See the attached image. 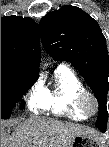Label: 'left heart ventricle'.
Wrapping results in <instances>:
<instances>
[{
    "mask_svg": "<svg viewBox=\"0 0 109 147\" xmlns=\"http://www.w3.org/2000/svg\"><path fill=\"white\" fill-rule=\"evenodd\" d=\"M86 104H87V107H88L89 110L94 109V101L92 99H88Z\"/></svg>",
    "mask_w": 109,
    "mask_h": 147,
    "instance_id": "1",
    "label": "left heart ventricle"
}]
</instances>
